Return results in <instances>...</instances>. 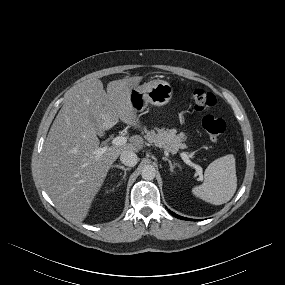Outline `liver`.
<instances>
[{"label":"liver","mask_w":285,"mask_h":285,"mask_svg":"<svg viewBox=\"0 0 285 285\" xmlns=\"http://www.w3.org/2000/svg\"><path fill=\"white\" fill-rule=\"evenodd\" d=\"M141 77L111 81L106 91L99 79H88L69 91L43 146L41 175L44 187L62 215L82 222L103 185L112 164L126 150L139 151L144 140L139 135L129 143L107 146L96 159L98 132L114 127L119 120L140 128L130 92Z\"/></svg>","instance_id":"liver-1"}]
</instances>
